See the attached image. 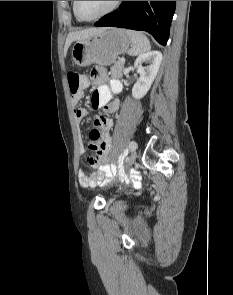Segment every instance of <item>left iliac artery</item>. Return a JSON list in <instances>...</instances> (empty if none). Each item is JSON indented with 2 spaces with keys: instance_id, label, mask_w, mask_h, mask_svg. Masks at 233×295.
Returning <instances> with one entry per match:
<instances>
[{
  "instance_id": "left-iliac-artery-1",
  "label": "left iliac artery",
  "mask_w": 233,
  "mask_h": 295,
  "mask_svg": "<svg viewBox=\"0 0 233 295\" xmlns=\"http://www.w3.org/2000/svg\"><path fill=\"white\" fill-rule=\"evenodd\" d=\"M129 147L131 151H134L137 148L135 144V140H130Z\"/></svg>"
}]
</instances>
